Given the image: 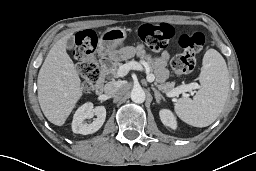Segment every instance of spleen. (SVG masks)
<instances>
[{"label":"spleen","instance_id":"obj_1","mask_svg":"<svg viewBox=\"0 0 256 171\" xmlns=\"http://www.w3.org/2000/svg\"><path fill=\"white\" fill-rule=\"evenodd\" d=\"M199 81L200 89L193 100L188 97L178 99L174 110L185 123L206 127L222 112L230 87L226 62L215 49H209L204 54Z\"/></svg>","mask_w":256,"mask_h":171}]
</instances>
